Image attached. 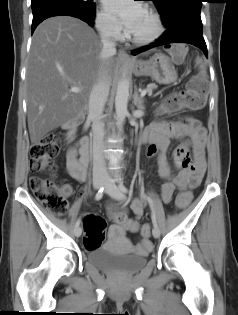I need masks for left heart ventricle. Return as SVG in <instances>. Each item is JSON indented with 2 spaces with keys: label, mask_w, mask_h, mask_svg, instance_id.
I'll list each match as a JSON object with an SVG mask.
<instances>
[{
  "label": "left heart ventricle",
  "mask_w": 238,
  "mask_h": 315,
  "mask_svg": "<svg viewBox=\"0 0 238 315\" xmlns=\"http://www.w3.org/2000/svg\"><path fill=\"white\" fill-rule=\"evenodd\" d=\"M154 31V22L151 16L144 10L137 21L135 22L134 27L130 31V34L135 37H146Z\"/></svg>",
  "instance_id": "left-heart-ventricle-1"
}]
</instances>
